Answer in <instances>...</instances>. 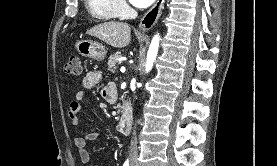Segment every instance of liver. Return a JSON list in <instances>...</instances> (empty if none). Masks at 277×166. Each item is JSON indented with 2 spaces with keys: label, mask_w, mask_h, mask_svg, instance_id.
<instances>
[{
  "label": "liver",
  "mask_w": 277,
  "mask_h": 166,
  "mask_svg": "<svg viewBox=\"0 0 277 166\" xmlns=\"http://www.w3.org/2000/svg\"><path fill=\"white\" fill-rule=\"evenodd\" d=\"M87 34L115 48L126 47L131 40V28L127 23L122 22L101 23L87 30Z\"/></svg>",
  "instance_id": "1"
}]
</instances>
